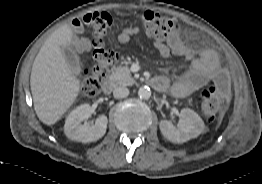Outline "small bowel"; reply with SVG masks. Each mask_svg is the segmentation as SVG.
<instances>
[{"label":"small bowel","instance_id":"c3829d8e","mask_svg":"<svg viewBox=\"0 0 262 184\" xmlns=\"http://www.w3.org/2000/svg\"><path fill=\"white\" fill-rule=\"evenodd\" d=\"M71 26L76 32L82 30V23L79 19H74ZM139 33V28H125L119 32L118 40L121 43H127ZM73 44L78 51H88L91 48L89 39L85 37L78 38ZM154 46L160 56L164 58L176 55L189 62L188 69L173 82H170L165 76L154 78L159 82L157 90L169 91L177 98L184 99L191 96L212 83L214 77L223 72L218 54L213 49L189 47L178 34L165 42L155 41Z\"/></svg>","mask_w":262,"mask_h":184}]
</instances>
